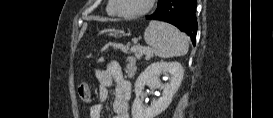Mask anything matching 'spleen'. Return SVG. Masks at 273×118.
<instances>
[{"instance_id":"spleen-1","label":"spleen","mask_w":273,"mask_h":118,"mask_svg":"<svg viewBox=\"0 0 273 118\" xmlns=\"http://www.w3.org/2000/svg\"><path fill=\"white\" fill-rule=\"evenodd\" d=\"M145 42L161 58L187 54V37L177 28L163 22L151 21L144 32Z\"/></svg>"}]
</instances>
